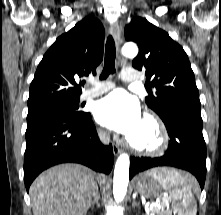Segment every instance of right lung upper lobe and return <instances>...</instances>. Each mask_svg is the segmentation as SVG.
I'll list each match as a JSON object with an SVG mask.
<instances>
[{
    "instance_id": "1",
    "label": "right lung upper lobe",
    "mask_w": 221,
    "mask_h": 215,
    "mask_svg": "<svg viewBox=\"0 0 221 215\" xmlns=\"http://www.w3.org/2000/svg\"><path fill=\"white\" fill-rule=\"evenodd\" d=\"M105 31L91 16L56 39L39 63L30 85L28 107L79 99L78 78L96 74L103 59Z\"/></svg>"
}]
</instances>
